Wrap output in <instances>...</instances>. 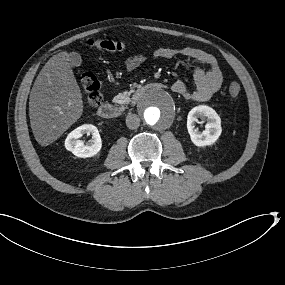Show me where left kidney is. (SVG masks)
<instances>
[{"instance_id": "obj_1", "label": "left kidney", "mask_w": 285, "mask_h": 285, "mask_svg": "<svg viewBox=\"0 0 285 285\" xmlns=\"http://www.w3.org/2000/svg\"><path fill=\"white\" fill-rule=\"evenodd\" d=\"M198 118H206L205 130L199 132L195 129ZM187 129L191 141L196 146L212 145L221 135V119L214 109L206 105H199L191 109L187 117Z\"/></svg>"}]
</instances>
